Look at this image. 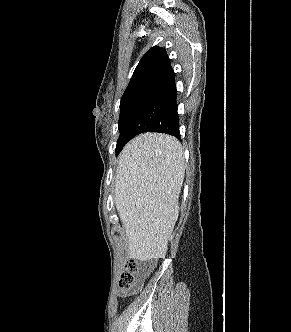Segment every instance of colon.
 I'll use <instances>...</instances> for the list:
<instances>
[{
    "mask_svg": "<svg viewBox=\"0 0 291 332\" xmlns=\"http://www.w3.org/2000/svg\"><path fill=\"white\" fill-rule=\"evenodd\" d=\"M150 268L149 264H141L136 261L127 262L119 280L121 293L126 295L137 291L149 273Z\"/></svg>",
    "mask_w": 291,
    "mask_h": 332,
    "instance_id": "1",
    "label": "colon"
}]
</instances>
